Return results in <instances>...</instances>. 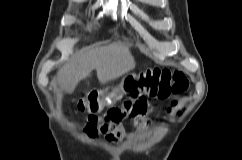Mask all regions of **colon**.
I'll return each instance as SVG.
<instances>
[{
    "label": "colon",
    "mask_w": 242,
    "mask_h": 160,
    "mask_svg": "<svg viewBox=\"0 0 242 160\" xmlns=\"http://www.w3.org/2000/svg\"><path fill=\"white\" fill-rule=\"evenodd\" d=\"M188 85V78L181 70L153 68L127 75L117 85L89 90L78 99L76 107L89 114L84 132L93 136L103 131L106 124L121 121L118 103H122L124 112L131 117H145L150 109L147 99L184 92ZM101 112L105 114L98 116Z\"/></svg>",
    "instance_id": "colon-1"
}]
</instances>
